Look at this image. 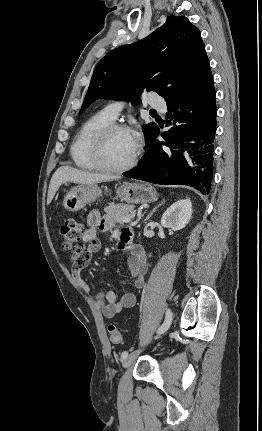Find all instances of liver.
<instances>
[{
  "instance_id": "liver-1",
  "label": "liver",
  "mask_w": 262,
  "mask_h": 431,
  "mask_svg": "<svg viewBox=\"0 0 262 431\" xmlns=\"http://www.w3.org/2000/svg\"><path fill=\"white\" fill-rule=\"evenodd\" d=\"M115 179H118V177L106 174L91 173L69 166H61L55 171L51 178L48 188L47 204L49 205L51 203L54 195L63 183L71 182L75 184H97Z\"/></svg>"
}]
</instances>
